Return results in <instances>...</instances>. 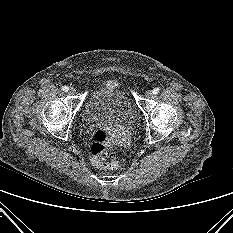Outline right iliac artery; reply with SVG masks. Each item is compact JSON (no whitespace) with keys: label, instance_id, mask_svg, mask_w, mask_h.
<instances>
[{"label":"right iliac artery","instance_id":"right-iliac-artery-1","mask_svg":"<svg viewBox=\"0 0 233 233\" xmlns=\"http://www.w3.org/2000/svg\"><path fill=\"white\" fill-rule=\"evenodd\" d=\"M62 90L67 92L69 90V88H68V86L65 85V86L62 87Z\"/></svg>","mask_w":233,"mask_h":233}]
</instances>
